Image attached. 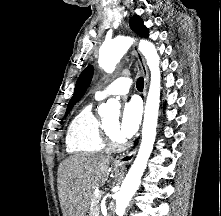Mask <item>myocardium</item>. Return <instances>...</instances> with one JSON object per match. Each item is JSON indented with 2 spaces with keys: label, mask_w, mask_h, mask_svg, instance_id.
<instances>
[{
  "label": "myocardium",
  "mask_w": 221,
  "mask_h": 216,
  "mask_svg": "<svg viewBox=\"0 0 221 216\" xmlns=\"http://www.w3.org/2000/svg\"><path fill=\"white\" fill-rule=\"evenodd\" d=\"M102 135L105 145L110 149L118 150L123 148L124 141L121 138H117L107 127L105 122H102Z\"/></svg>",
  "instance_id": "f54148a6"
}]
</instances>
